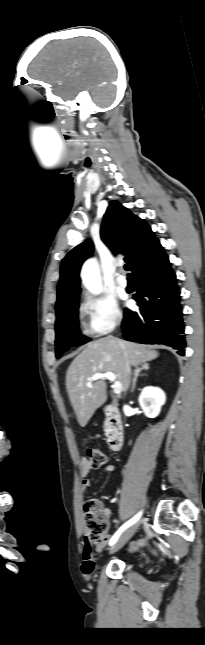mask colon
<instances>
[{"mask_svg":"<svg viewBox=\"0 0 205 645\" xmlns=\"http://www.w3.org/2000/svg\"><path fill=\"white\" fill-rule=\"evenodd\" d=\"M86 459L93 468H98L106 464V454L95 447L86 449ZM83 523L86 529V545L92 549V546L102 545L108 538L109 524L102 508V503L98 499H90L83 506Z\"/></svg>","mask_w":205,"mask_h":645,"instance_id":"obj_1","label":"colon"}]
</instances>
